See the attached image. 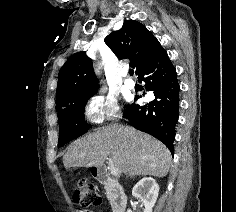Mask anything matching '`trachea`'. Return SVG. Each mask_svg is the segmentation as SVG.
Here are the masks:
<instances>
[{"mask_svg": "<svg viewBox=\"0 0 236 212\" xmlns=\"http://www.w3.org/2000/svg\"><path fill=\"white\" fill-rule=\"evenodd\" d=\"M129 74L132 76L134 74V70L133 69H130L129 70Z\"/></svg>", "mask_w": 236, "mask_h": 212, "instance_id": "1", "label": "trachea"}]
</instances>
